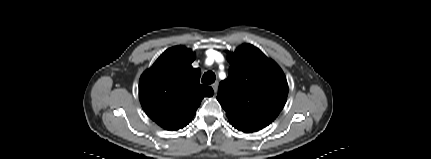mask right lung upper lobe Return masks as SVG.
<instances>
[{"mask_svg": "<svg viewBox=\"0 0 431 159\" xmlns=\"http://www.w3.org/2000/svg\"><path fill=\"white\" fill-rule=\"evenodd\" d=\"M195 54L184 46L166 50L139 82V98L146 114L166 130L185 127L211 87L201 85L200 69L191 63Z\"/></svg>", "mask_w": 431, "mask_h": 159, "instance_id": "1", "label": "right lung upper lobe"}]
</instances>
